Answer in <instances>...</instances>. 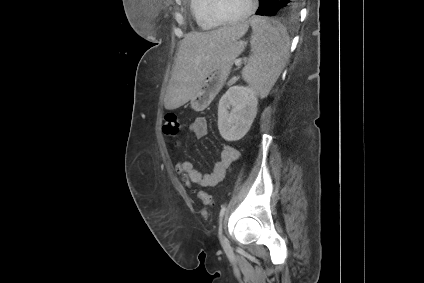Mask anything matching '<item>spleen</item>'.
Wrapping results in <instances>:
<instances>
[{
    "instance_id": "spleen-1",
    "label": "spleen",
    "mask_w": 424,
    "mask_h": 283,
    "mask_svg": "<svg viewBox=\"0 0 424 283\" xmlns=\"http://www.w3.org/2000/svg\"><path fill=\"white\" fill-rule=\"evenodd\" d=\"M250 24L252 54L242 70V77L257 94L266 97L286 65L290 38L278 21L253 17Z\"/></svg>"
}]
</instances>
